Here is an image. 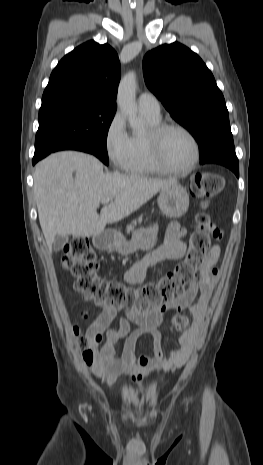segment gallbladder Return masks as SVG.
I'll return each instance as SVG.
<instances>
[{"label":"gallbladder","mask_w":263,"mask_h":465,"mask_svg":"<svg viewBox=\"0 0 263 465\" xmlns=\"http://www.w3.org/2000/svg\"><path fill=\"white\" fill-rule=\"evenodd\" d=\"M68 242V236L67 235H59L55 238L53 242V249L54 251L58 252L60 251L65 244Z\"/></svg>","instance_id":"1"}]
</instances>
